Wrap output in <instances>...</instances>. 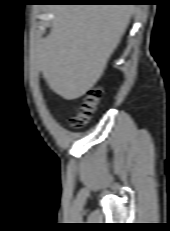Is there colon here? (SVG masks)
I'll return each instance as SVG.
<instances>
[{
  "label": "colon",
  "mask_w": 170,
  "mask_h": 231,
  "mask_svg": "<svg viewBox=\"0 0 170 231\" xmlns=\"http://www.w3.org/2000/svg\"><path fill=\"white\" fill-rule=\"evenodd\" d=\"M103 91L100 87L90 89L82 100L78 112L70 121L73 128H80L86 124L98 109Z\"/></svg>",
  "instance_id": "colon-1"
}]
</instances>
